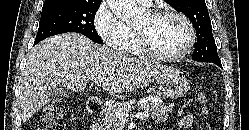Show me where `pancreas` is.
<instances>
[{
  "instance_id": "1",
  "label": "pancreas",
  "mask_w": 249,
  "mask_h": 130,
  "mask_svg": "<svg viewBox=\"0 0 249 130\" xmlns=\"http://www.w3.org/2000/svg\"><path fill=\"white\" fill-rule=\"evenodd\" d=\"M155 102L152 100H147L145 103L141 104L148 113L149 116L156 122L162 123L167 120L168 113L172 111V106H167L159 96H152ZM136 101L131 100L130 102H123L115 104L111 107H106L103 109L104 116L99 119L100 126L99 130H119L122 122L116 117L115 111H121L128 113L132 110V104Z\"/></svg>"
}]
</instances>
